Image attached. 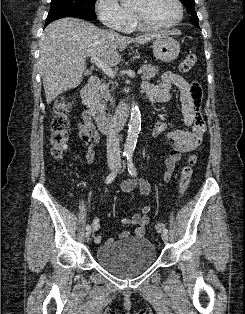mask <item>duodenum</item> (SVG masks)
<instances>
[{
    "instance_id": "1",
    "label": "duodenum",
    "mask_w": 245,
    "mask_h": 314,
    "mask_svg": "<svg viewBox=\"0 0 245 314\" xmlns=\"http://www.w3.org/2000/svg\"><path fill=\"white\" fill-rule=\"evenodd\" d=\"M99 85V77L92 75L81 90L80 97L86 108V113L101 132L106 133L120 130L124 127L129 116L131 103L128 100H123L112 117L105 116L95 99V93Z\"/></svg>"
}]
</instances>
